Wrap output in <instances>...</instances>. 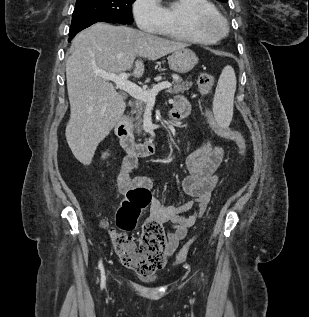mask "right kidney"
I'll list each match as a JSON object with an SVG mask.
<instances>
[{
  "instance_id": "1",
  "label": "right kidney",
  "mask_w": 309,
  "mask_h": 317,
  "mask_svg": "<svg viewBox=\"0 0 309 317\" xmlns=\"http://www.w3.org/2000/svg\"><path fill=\"white\" fill-rule=\"evenodd\" d=\"M108 156V153H104L103 155H102V158H106Z\"/></svg>"
}]
</instances>
